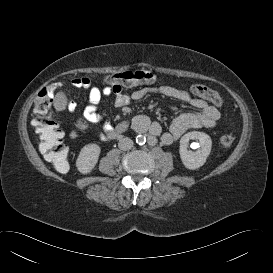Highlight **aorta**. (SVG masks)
Here are the masks:
<instances>
[{
  "instance_id": "obj_1",
  "label": "aorta",
  "mask_w": 273,
  "mask_h": 273,
  "mask_svg": "<svg viewBox=\"0 0 273 273\" xmlns=\"http://www.w3.org/2000/svg\"><path fill=\"white\" fill-rule=\"evenodd\" d=\"M136 143L139 145H143L146 143V137H144L143 135H138L136 137Z\"/></svg>"
}]
</instances>
